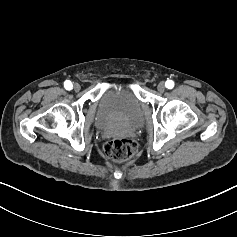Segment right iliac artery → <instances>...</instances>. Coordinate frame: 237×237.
I'll use <instances>...</instances> for the list:
<instances>
[{
  "instance_id": "obj_1",
  "label": "right iliac artery",
  "mask_w": 237,
  "mask_h": 237,
  "mask_svg": "<svg viewBox=\"0 0 237 237\" xmlns=\"http://www.w3.org/2000/svg\"><path fill=\"white\" fill-rule=\"evenodd\" d=\"M64 87H65L66 90H71L72 87H73V85H72V83H71L70 80H66V81L64 82Z\"/></svg>"
}]
</instances>
